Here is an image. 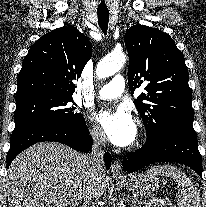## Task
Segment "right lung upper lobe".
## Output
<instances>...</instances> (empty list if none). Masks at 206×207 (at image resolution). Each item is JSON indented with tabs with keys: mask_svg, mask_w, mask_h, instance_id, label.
I'll list each match as a JSON object with an SVG mask.
<instances>
[{
	"mask_svg": "<svg viewBox=\"0 0 206 207\" xmlns=\"http://www.w3.org/2000/svg\"><path fill=\"white\" fill-rule=\"evenodd\" d=\"M91 55L90 41L73 26L45 34L23 60L15 100L37 94L72 96V80L81 75Z\"/></svg>",
	"mask_w": 206,
	"mask_h": 207,
	"instance_id": "right-lung-upper-lobe-1",
	"label": "right lung upper lobe"
}]
</instances>
